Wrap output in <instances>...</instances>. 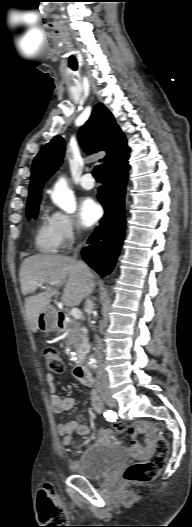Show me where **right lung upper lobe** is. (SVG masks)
I'll return each mask as SVG.
<instances>
[{
	"label": "right lung upper lobe",
	"mask_w": 192,
	"mask_h": 527,
	"mask_svg": "<svg viewBox=\"0 0 192 527\" xmlns=\"http://www.w3.org/2000/svg\"><path fill=\"white\" fill-rule=\"evenodd\" d=\"M79 141L88 153L106 151L105 170L114 165L129 152L124 134L119 129L110 111L102 104H97L90 119L79 130ZM65 152V142L55 137L46 144L34 159L29 188L28 205L40 201L42 184L58 169Z\"/></svg>",
	"instance_id": "right-lung-upper-lobe-1"
}]
</instances>
